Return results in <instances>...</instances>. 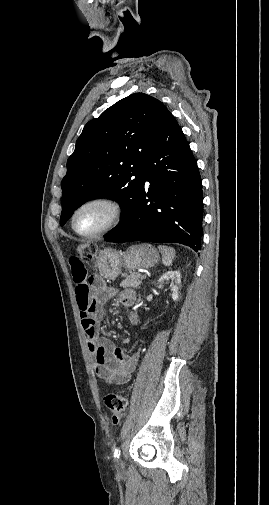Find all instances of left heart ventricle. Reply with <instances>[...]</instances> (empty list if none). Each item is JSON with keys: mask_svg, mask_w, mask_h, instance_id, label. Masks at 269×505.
<instances>
[{"mask_svg": "<svg viewBox=\"0 0 269 505\" xmlns=\"http://www.w3.org/2000/svg\"><path fill=\"white\" fill-rule=\"evenodd\" d=\"M112 217V210L105 204L84 207L76 216L75 226L81 233H92L104 227Z\"/></svg>", "mask_w": 269, "mask_h": 505, "instance_id": "1", "label": "left heart ventricle"}]
</instances>
